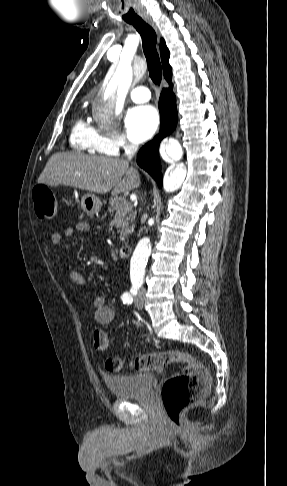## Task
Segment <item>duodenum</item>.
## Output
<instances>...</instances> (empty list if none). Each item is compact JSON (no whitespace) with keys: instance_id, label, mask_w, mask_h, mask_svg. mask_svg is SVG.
Wrapping results in <instances>:
<instances>
[{"instance_id":"duodenum-1","label":"duodenum","mask_w":287,"mask_h":486,"mask_svg":"<svg viewBox=\"0 0 287 486\" xmlns=\"http://www.w3.org/2000/svg\"><path fill=\"white\" fill-rule=\"evenodd\" d=\"M131 251L132 246L130 244H124L119 248L118 253L120 258H127L131 254Z\"/></svg>"}]
</instances>
